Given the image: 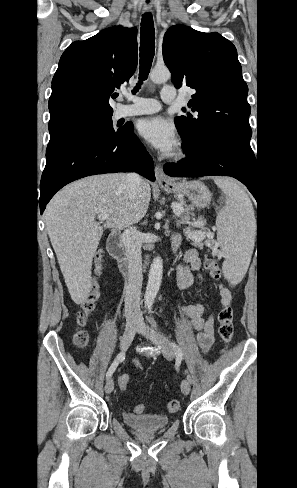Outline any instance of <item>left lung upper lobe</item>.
Returning <instances> with one entry per match:
<instances>
[{"label": "left lung upper lobe", "mask_w": 297, "mask_h": 488, "mask_svg": "<svg viewBox=\"0 0 297 488\" xmlns=\"http://www.w3.org/2000/svg\"><path fill=\"white\" fill-rule=\"evenodd\" d=\"M163 59L176 88L196 90L191 109L175 118L184 151L223 145L252 154L248 87L235 46L219 33L175 25L165 33Z\"/></svg>", "instance_id": "obj_1"}]
</instances>
